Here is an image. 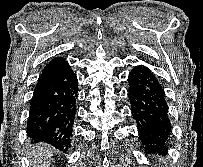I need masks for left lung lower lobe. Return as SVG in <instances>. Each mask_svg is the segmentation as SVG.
<instances>
[{"instance_id": "obj_1", "label": "left lung lower lobe", "mask_w": 203, "mask_h": 167, "mask_svg": "<svg viewBox=\"0 0 203 167\" xmlns=\"http://www.w3.org/2000/svg\"><path fill=\"white\" fill-rule=\"evenodd\" d=\"M128 83L131 111L143 148L153 152L166 147L172 126L160 82L147 67L136 66L129 74Z\"/></svg>"}]
</instances>
